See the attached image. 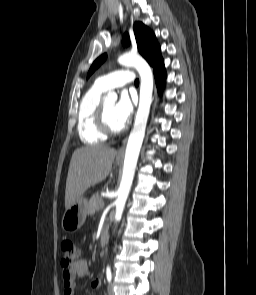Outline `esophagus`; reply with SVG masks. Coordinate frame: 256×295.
Here are the masks:
<instances>
[{
	"instance_id": "1",
	"label": "esophagus",
	"mask_w": 256,
	"mask_h": 295,
	"mask_svg": "<svg viewBox=\"0 0 256 295\" xmlns=\"http://www.w3.org/2000/svg\"><path fill=\"white\" fill-rule=\"evenodd\" d=\"M126 138H124L123 143H125ZM124 156V148L123 146L119 148L118 152H117V158H123Z\"/></svg>"
}]
</instances>
